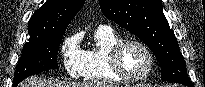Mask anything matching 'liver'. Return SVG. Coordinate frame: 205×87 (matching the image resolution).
Instances as JSON below:
<instances>
[{
	"instance_id": "6515ba94",
	"label": "liver",
	"mask_w": 205,
	"mask_h": 87,
	"mask_svg": "<svg viewBox=\"0 0 205 87\" xmlns=\"http://www.w3.org/2000/svg\"><path fill=\"white\" fill-rule=\"evenodd\" d=\"M19 87H114L113 85L103 84L100 82L90 83H77V82H65L58 80H46L38 79L37 77H31L19 84Z\"/></svg>"
}]
</instances>
